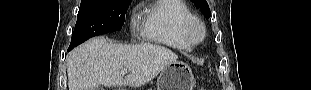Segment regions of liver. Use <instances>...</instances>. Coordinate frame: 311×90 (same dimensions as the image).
Wrapping results in <instances>:
<instances>
[{
    "instance_id": "obj_1",
    "label": "liver",
    "mask_w": 311,
    "mask_h": 90,
    "mask_svg": "<svg viewBox=\"0 0 311 90\" xmlns=\"http://www.w3.org/2000/svg\"><path fill=\"white\" fill-rule=\"evenodd\" d=\"M178 56L170 49L151 43L115 44L96 37L73 49L67 56L69 90L107 87H140L153 80ZM129 74L122 77L121 70Z\"/></svg>"
}]
</instances>
